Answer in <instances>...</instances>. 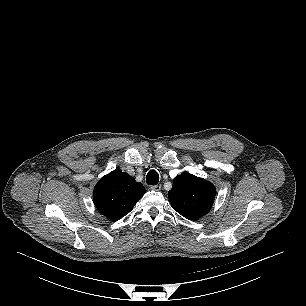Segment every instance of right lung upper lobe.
<instances>
[{
	"label": "right lung upper lobe",
	"instance_id": "obj_1",
	"mask_svg": "<svg viewBox=\"0 0 306 306\" xmlns=\"http://www.w3.org/2000/svg\"><path fill=\"white\" fill-rule=\"evenodd\" d=\"M145 192L144 186L126 172L112 171L95 186L93 201L104 216L119 220L133 209Z\"/></svg>",
	"mask_w": 306,
	"mask_h": 306
}]
</instances>
